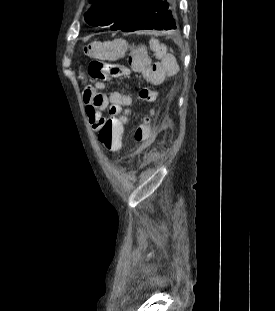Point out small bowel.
Returning a JSON list of instances; mask_svg holds the SVG:
<instances>
[{"label":"small bowel","mask_w":275,"mask_h":311,"mask_svg":"<svg viewBox=\"0 0 275 311\" xmlns=\"http://www.w3.org/2000/svg\"><path fill=\"white\" fill-rule=\"evenodd\" d=\"M123 43V40L106 42L103 44L102 51L106 53V57H125V52L128 51L125 46H128V43H125V46ZM149 44L153 49L149 51L151 61L144 53L132 48L135 52L130 55L128 66L136 72H141L142 80H149L150 87H165V80H175V76H179L180 66L177 64L179 58L167 55L168 46H161L155 38H151ZM103 88L102 82L93 81L86 85L83 93L87 116L95 131H98L103 118L128 119V109L132 105V96L129 93L114 91L105 95L101 92ZM106 109L108 112H104ZM155 115V109H148L147 115L143 116V121L136 122L131 132L133 143H153L158 132L157 121L153 119ZM120 131L123 132V130Z\"/></svg>","instance_id":"c3829d8e"}]
</instances>
